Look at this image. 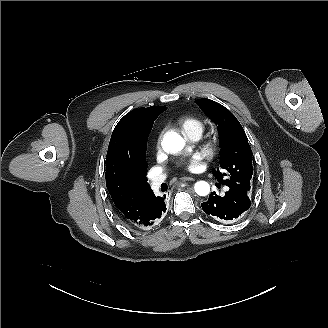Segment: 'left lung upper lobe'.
I'll use <instances>...</instances> for the list:
<instances>
[{
  "label": "left lung upper lobe",
  "mask_w": 328,
  "mask_h": 328,
  "mask_svg": "<svg viewBox=\"0 0 328 328\" xmlns=\"http://www.w3.org/2000/svg\"><path fill=\"white\" fill-rule=\"evenodd\" d=\"M196 103L218 126L220 168L213 170L215 178L229 188L249 195L253 154L244 129L223 105L210 99H198Z\"/></svg>",
  "instance_id": "left-lung-upper-lobe-1"
}]
</instances>
